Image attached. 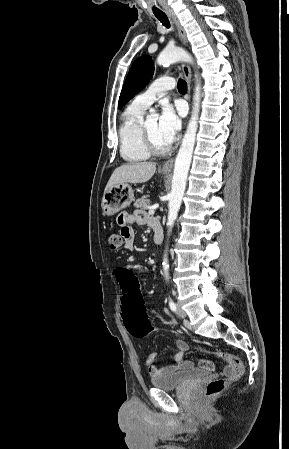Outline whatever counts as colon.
I'll return each instance as SVG.
<instances>
[{
    "instance_id": "colon-1",
    "label": "colon",
    "mask_w": 289,
    "mask_h": 449,
    "mask_svg": "<svg viewBox=\"0 0 289 449\" xmlns=\"http://www.w3.org/2000/svg\"><path fill=\"white\" fill-rule=\"evenodd\" d=\"M108 243L112 251H118L124 244L123 236L121 233H110ZM113 276L118 280L119 291H122L123 317L128 332L138 338L153 333L156 329L146 315L143 298L133 269L114 268ZM216 354L233 366L234 370L228 379L211 380L206 387L208 396L220 394L229 383L237 381L244 373V365L237 356L223 351H217Z\"/></svg>"
}]
</instances>
